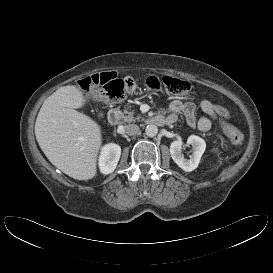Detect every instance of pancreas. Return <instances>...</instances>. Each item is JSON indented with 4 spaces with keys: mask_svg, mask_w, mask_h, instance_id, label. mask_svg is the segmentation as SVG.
I'll list each match as a JSON object with an SVG mask.
<instances>
[{
    "mask_svg": "<svg viewBox=\"0 0 273 273\" xmlns=\"http://www.w3.org/2000/svg\"><path fill=\"white\" fill-rule=\"evenodd\" d=\"M123 120L125 122H135V121H139L140 119L143 120V117L139 114L136 117L134 116V112L133 111H129L127 109L124 110L123 112Z\"/></svg>",
    "mask_w": 273,
    "mask_h": 273,
    "instance_id": "obj_1",
    "label": "pancreas"
}]
</instances>
